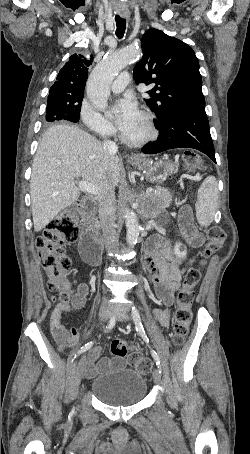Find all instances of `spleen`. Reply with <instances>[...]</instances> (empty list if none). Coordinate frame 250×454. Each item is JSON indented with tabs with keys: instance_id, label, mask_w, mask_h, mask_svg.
<instances>
[{
	"instance_id": "1",
	"label": "spleen",
	"mask_w": 250,
	"mask_h": 454,
	"mask_svg": "<svg viewBox=\"0 0 250 454\" xmlns=\"http://www.w3.org/2000/svg\"><path fill=\"white\" fill-rule=\"evenodd\" d=\"M218 206V183L214 176L207 177L198 189L196 218L201 226H209Z\"/></svg>"
}]
</instances>
